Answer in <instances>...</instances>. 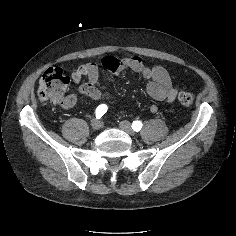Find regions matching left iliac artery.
<instances>
[{"mask_svg":"<svg viewBox=\"0 0 236 236\" xmlns=\"http://www.w3.org/2000/svg\"><path fill=\"white\" fill-rule=\"evenodd\" d=\"M142 128V122L141 121H134L132 123V129L136 132L140 131Z\"/></svg>","mask_w":236,"mask_h":236,"instance_id":"1","label":"left iliac artery"}]
</instances>
